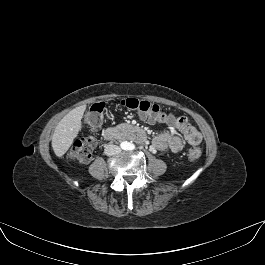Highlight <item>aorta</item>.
Here are the masks:
<instances>
[{
    "mask_svg": "<svg viewBox=\"0 0 265 265\" xmlns=\"http://www.w3.org/2000/svg\"><path fill=\"white\" fill-rule=\"evenodd\" d=\"M129 146H130V143L127 142V141H124V142L121 143V148L124 149V150L128 149Z\"/></svg>",
    "mask_w": 265,
    "mask_h": 265,
    "instance_id": "1",
    "label": "aorta"
}]
</instances>
